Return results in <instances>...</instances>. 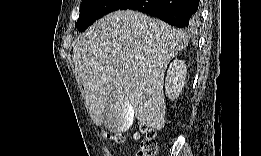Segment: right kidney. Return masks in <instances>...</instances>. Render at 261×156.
<instances>
[{"label":"right kidney","instance_id":"1","mask_svg":"<svg viewBox=\"0 0 261 156\" xmlns=\"http://www.w3.org/2000/svg\"><path fill=\"white\" fill-rule=\"evenodd\" d=\"M187 67L182 60H174L168 70L165 83L166 95L175 99L182 91L186 79Z\"/></svg>","mask_w":261,"mask_h":156}]
</instances>
